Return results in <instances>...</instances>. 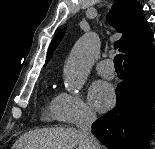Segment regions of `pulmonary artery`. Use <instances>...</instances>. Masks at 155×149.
Segmentation results:
<instances>
[{
	"mask_svg": "<svg viewBox=\"0 0 155 149\" xmlns=\"http://www.w3.org/2000/svg\"><path fill=\"white\" fill-rule=\"evenodd\" d=\"M98 73L106 78H113L115 75L113 62L109 59L103 60L96 65Z\"/></svg>",
	"mask_w": 155,
	"mask_h": 149,
	"instance_id": "pulmonary-artery-1",
	"label": "pulmonary artery"
}]
</instances>
